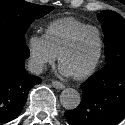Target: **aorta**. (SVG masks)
<instances>
[{"label": "aorta", "mask_w": 125, "mask_h": 125, "mask_svg": "<svg viewBox=\"0 0 125 125\" xmlns=\"http://www.w3.org/2000/svg\"><path fill=\"white\" fill-rule=\"evenodd\" d=\"M60 102L65 109L73 110L81 102L80 94L73 88H66L61 92Z\"/></svg>", "instance_id": "1"}]
</instances>
